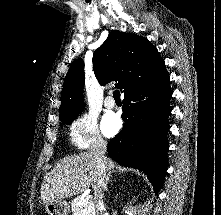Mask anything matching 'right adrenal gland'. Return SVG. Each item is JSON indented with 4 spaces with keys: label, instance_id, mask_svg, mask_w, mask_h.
<instances>
[{
    "label": "right adrenal gland",
    "instance_id": "right-adrenal-gland-1",
    "mask_svg": "<svg viewBox=\"0 0 221 215\" xmlns=\"http://www.w3.org/2000/svg\"><path fill=\"white\" fill-rule=\"evenodd\" d=\"M110 176H111V174L109 173L108 176H107V180H106V187H105L106 190H107V185H108V182H109Z\"/></svg>",
    "mask_w": 221,
    "mask_h": 215
}]
</instances>
